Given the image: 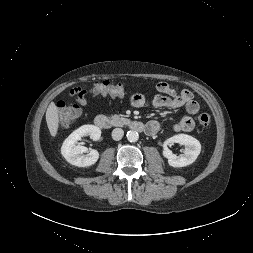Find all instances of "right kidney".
<instances>
[{
	"mask_svg": "<svg viewBox=\"0 0 253 253\" xmlns=\"http://www.w3.org/2000/svg\"><path fill=\"white\" fill-rule=\"evenodd\" d=\"M84 136H90L93 140H98L101 136V130L99 127L94 125H83L73 131L63 142L61 147V154L70 164L77 167H89L94 165L98 158L99 153L97 150H90L76 143ZM89 152L87 156L83 153Z\"/></svg>",
	"mask_w": 253,
	"mask_h": 253,
	"instance_id": "obj_1",
	"label": "right kidney"
}]
</instances>
